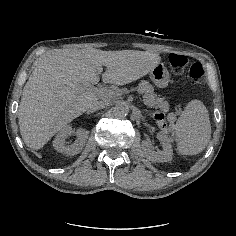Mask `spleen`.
Segmentation results:
<instances>
[{"label":"spleen","mask_w":236,"mask_h":236,"mask_svg":"<svg viewBox=\"0 0 236 236\" xmlns=\"http://www.w3.org/2000/svg\"><path fill=\"white\" fill-rule=\"evenodd\" d=\"M177 149L184 155L201 153L211 138L208 110L200 100H191L175 126Z\"/></svg>","instance_id":"obj_1"}]
</instances>
